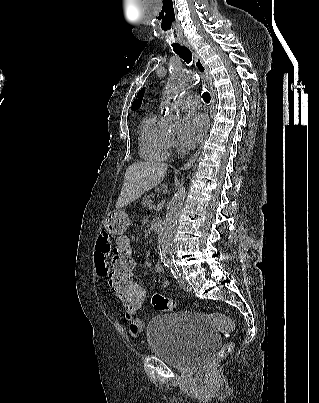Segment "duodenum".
Listing matches in <instances>:
<instances>
[{"mask_svg": "<svg viewBox=\"0 0 319 403\" xmlns=\"http://www.w3.org/2000/svg\"><path fill=\"white\" fill-rule=\"evenodd\" d=\"M152 230L158 232L162 228V221L160 219H154L151 224Z\"/></svg>", "mask_w": 319, "mask_h": 403, "instance_id": "410a0bca", "label": "duodenum"}]
</instances>
